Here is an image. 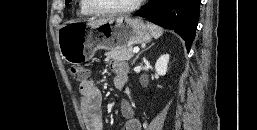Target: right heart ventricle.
<instances>
[{
  "label": "right heart ventricle",
  "mask_w": 257,
  "mask_h": 130,
  "mask_svg": "<svg viewBox=\"0 0 257 130\" xmlns=\"http://www.w3.org/2000/svg\"><path fill=\"white\" fill-rule=\"evenodd\" d=\"M78 11L83 16H91L93 14L86 8L84 0H79Z\"/></svg>",
  "instance_id": "right-heart-ventricle-1"
}]
</instances>
